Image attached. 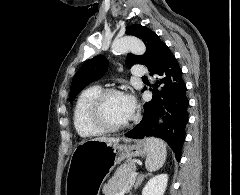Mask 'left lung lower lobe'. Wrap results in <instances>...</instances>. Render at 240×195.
I'll use <instances>...</instances> for the list:
<instances>
[{
    "label": "left lung lower lobe",
    "instance_id": "left-lung-lower-lobe-1",
    "mask_svg": "<svg viewBox=\"0 0 240 195\" xmlns=\"http://www.w3.org/2000/svg\"><path fill=\"white\" fill-rule=\"evenodd\" d=\"M152 74L157 78L152 89L153 98L144 104L141 122L125 135L140 139L148 136L162 138L173 149L179 161L189 118V100L182 70L171 53ZM159 86L160 90L157 89ZM160 116L163 119L161 124L158 123Z\"/></svg>",
    "mask_w": 240,
    "mask_h": 195
}]
</instances>
